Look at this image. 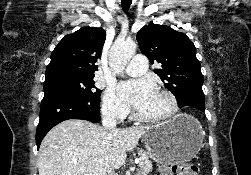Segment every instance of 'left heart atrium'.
Returning <instances> with one entry per match:
<instances>
[{
    "mask_svg": "<svg viewBox=\"0 0 251 175\" xmlns=\"http://www.w3.org/2000/svg\"><path fill=\"white\" fill-rule=\"evenodd\" d=\"M122 101L139 111H145L155 100L158 90L155 82L149 78L122 81L118 86Z\"/></svg>",
    "mask_w": 251,
    "mask_h": 175,
    "instance_id": "1",
    "label": "left heart atrium"
}]
</instances>
